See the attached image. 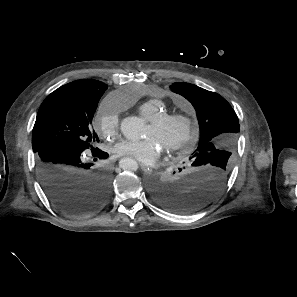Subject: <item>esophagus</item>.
<instances>
[{
  "label": "esophagus",
  "mask_w": 297,
  "mask_h": 297,
  "mask_svg": "<svg viewBox=\"0 0 297 297\" xmlns=\"http://www.w3.org/2000/svg\"><path fill=\"white\" fill-rule=\"evenodd\" d=\"M140 167H141V169H142L145 173H151V172H152V169H151L149 166L145 165V164H140Z\"/></svg>",
  "instance_id": "esophagus-1"
}]
</instances>
